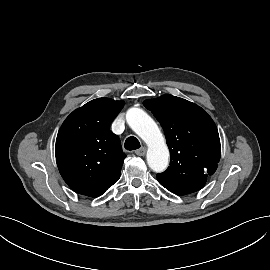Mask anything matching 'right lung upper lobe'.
<instances>
[{"label": "right lung upper lobe", "mask_w": 270, "mask_h": 270, "mask_svg": "<svg viewBox=\"0 0 270 270\" xmlns=\"http://www.w3.org/2000/svg\"><path fill=\"white\" fill-rule=\"evenodd\" d=\"M123 105L109 98L94 99L63 122L56 139V161L62 178L75 192L97 197L120 178L126 155L109 128Z\"/></svg>", "instance_id": "right-lung-upper-lobe-1"}]
</instances>
